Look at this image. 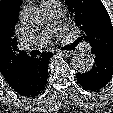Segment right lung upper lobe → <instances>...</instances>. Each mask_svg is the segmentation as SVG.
Masks as SVG:
<instances>
[{"instance_id": "obj_1", "label": "right lung upper lobe", "mask_w": 113, "mask_h": 113, "mask_svg": "<svg viewBox=\"0 0 113 113\" xmlns=\"http://www.w3.org/2000/svg\"><path fill=\"white\" fill-rule=\"evenodd\" d=\"M21 0L0 1V72L11 84L20 79L32 57L19 51L14 35Z\"/></svg>"}]
</instances>
